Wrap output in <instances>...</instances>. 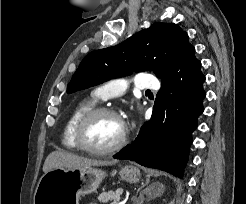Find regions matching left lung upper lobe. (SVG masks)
<instances>
[{
    "mask_svg": "<svg viewBox=\"0 0 246 204\" xmlns=\"http://www.w3.org/2000/svg\"><path fill=\"white\" fill-rule=\"evenodd\" d=\"M192 45L174 23H154L119 45L89 53L67 86V93L141 71L167 76Z\"/></svg>",
    "mask_w": 246,
    "mask_h": 204,
    "instance_id": "1",
    "label": "left lung upper lobe"
}]
</instances>
